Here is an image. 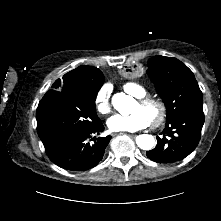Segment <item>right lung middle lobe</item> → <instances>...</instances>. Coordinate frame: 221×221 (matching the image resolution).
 <instances>
[{"label": "right lung middle lobe", "instance_id": "right-lung-middle-lobe-1", "mask_svg": "<svg viewBox=\"0 0 221 221\" xmlns=\"http://www.w3.org/2000/svg\"><path fill=\"white\" fill-rule=\"evenodd\" d=\"M101 86L94 81L84 89L67 93H58V89L46 92L36 111L37 132L45 150L100 122L95 99Z\"/></svg>", "mask_w": 221, "mask_h": 221}]
</instances>
